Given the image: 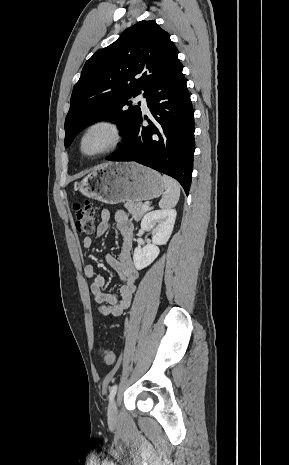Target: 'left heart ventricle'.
<instances>
[{
  "instance_id": "1",
  "label": "left heart ventricle",
  "mask_w": 289,
  "mask_h": 465,
  "mask_svg": "<svg viewBox=\"0 0 289 465\" xmlns=\"http://www.w3.org/2000/svg\"><path fill=\"white\" fill-rule=\"evenodd\" d=\"M112 136L111 133L103 128H96L92 130L83 142V150L86 153H94L109 144Z\"/></svg>"
}]
</instances>
